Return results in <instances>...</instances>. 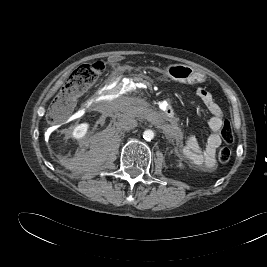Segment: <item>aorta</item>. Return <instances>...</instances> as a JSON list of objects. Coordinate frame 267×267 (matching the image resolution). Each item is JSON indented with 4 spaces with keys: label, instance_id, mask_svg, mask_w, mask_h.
<instances>
[{
    "label": "aorta",
    "instance_id": "aorta-1",
    "mask_svg": "<svg viewBox=\"0 0 267 267\" xmlns=\"http://www.w3.org/2000/svg\"><path fill=\"white\" fill-rule=\"evenodd\" d=\"M143 138L147 141H150L154 138V132L150 129L145 130L143 133Z\"/></svg>",
    "mask_w": 267,
    "mask_h": 267
}]
</instances>
